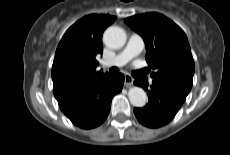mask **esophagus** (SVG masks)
<instances>
[{"label":"esophagus","mask_w":230,"mask_h":155,"mask_svg":"<svg viewBox=\"0 0 230 155\" xmlns=\"http://www.w3.org/2000/svg\"><path fill=\"white\" fill-rule=\"evenodd\" d=\"M134 79L130 75H125L124 77V85L126 87H131L133 85Z\"/></svg>","instance_id":"34e87169"}]
</instances>
